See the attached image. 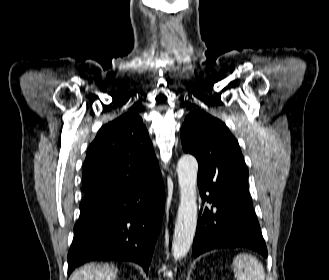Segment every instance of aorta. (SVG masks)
<instances>
[{"label": "aorta", "instance_id": "aorta-1", "mask_svg": "<svg viewBox=\"0 0 329 280\" xmlns=\"http://www.w3.org/2000/svg\"><path fill=\"white\" fill-rule=\"evenodd\" d=\"M177 174L180 205L172 241V254L176 261L184 258L189 252L197 226L198 163L196 158L192 155L182 156L177 164Z\"/></svg>", "mask_w": 329, "mask_h": 280}]
</instances>
